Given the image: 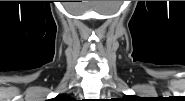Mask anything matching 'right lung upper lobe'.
Returning <instances> with one entry per match:
<instances>
[{
  "label": "right lung upper lobe",
  "instance_id": "right-lung-upper-lobe-1",
  "mask_svg": "<svg viewBox=\"0 0 185 101\" xmlns=\"http://www.w3.org/2000/svg\"><path fill=\"white\" fill-rule=\"evenodd\" d=\"M70 97L66 96V95H58L56 98H54V100L57 101H67L69 100Z\"/></svg>",
  "mask_w": 185,
  "mask_h": 101
}]
</instances>
